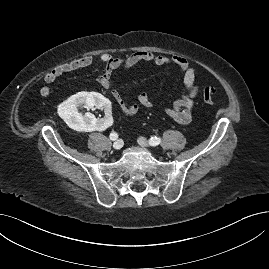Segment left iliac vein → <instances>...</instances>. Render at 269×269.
<instances>
[{
    "label": "left iliac vein",
    "mask_w": 269,
    "mask_h": 269,
    "mask_svg": "<svg viewBox=\"0 0 269 269\" xmlns=\"http://www.w3.org/2000/svg\"><path fill=\"white\" fill-rule=\"evenodd\" d=\"M138 143L142 146V147H148L149 146V143L148 141L143 138V137H139L138 138Z\"/></svg>",
    "instance_id": "obj_1"
}]
</instances>
